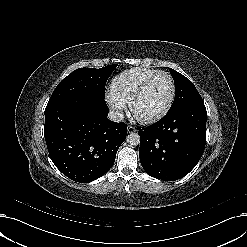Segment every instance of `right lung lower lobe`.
Listing matches in <instances>:
<instances>
[{
    "label": "right lung lower lobe",
    "mask_w": 247,
    "mask_h": 247,
    "mask_svg": "<svg viewBox=\"0 0 247 247\" xmlns=\"http://www.w3.org/2000/svg\"><path fill=\"white\" fill-rule=\"evenodd\" d=\"M105 101H62L45 109L44 136L55 166L89 183L106 173L126 139L127 125L110 121Z\"/></svg>",
    "instance_id": "98d812e1"
}]
</instances>
